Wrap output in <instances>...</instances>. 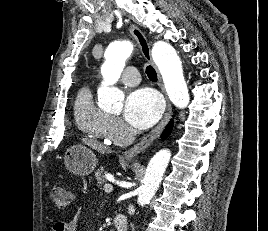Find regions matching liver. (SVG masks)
<instances>
[{"label": "liver", "instance_id": "obj_1", "mask_svg": "<svg viewBox=\"0 0 268 231\" xmlns=\"http://www.w3.org/2000/svg\"><path fill=\"white\" fill-rule=\"evenodd\" d=\"M85 144L88 146L92 147L93 149L97 150L99 153H105L107 151V148L98 142L94 140H89V139H83L82 140Z\"/></svg>", "mask_w": 268, "mask_h": 231}]
</instances>
